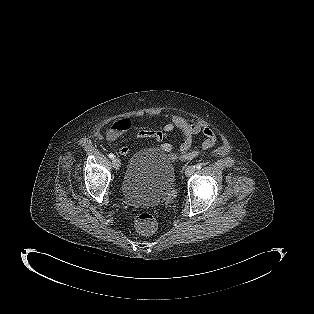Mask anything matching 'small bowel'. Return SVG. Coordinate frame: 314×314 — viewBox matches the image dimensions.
<instances>
[{"label": "small bowel", "instance_id": "c3829d8e", "mask_svg": "<svg viewBox=\"0 0 314 314\" xmlns=\"http://www.w3.org/2000/svg\"><path fill=\"white\" fill-rule=\"evenodd\" d=\"M176 129L182 134L180 150L185 158H191L196 153V149L192 148V138L194 135H203L204 139L200 146L203 150L212 148L217 142L216 134L212 128L200 122H188L177 115L172 116L170 121L165 123L159 130L141 129L137 131L134 136V142L142 139H153L161 142L160 149L165 152L171 160L175 161L178 157L174 153H171L172 144L166 141V138ZM129 151L130 146L124 145L119 149V154L125 156Z\"/></svg>", "mask_w": 314, "mask_h": 314}]
</instances>
